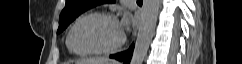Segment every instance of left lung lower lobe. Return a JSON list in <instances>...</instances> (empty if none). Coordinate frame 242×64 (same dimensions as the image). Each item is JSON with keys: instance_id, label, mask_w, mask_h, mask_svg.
Segmentation results:
<instances>
[{"instance_id": "1", "label": "left lung lower lobe", "mask_w": 242, "mask_h": 64, "mask_svg": "<svg viewBox=\"0 0 242 64\" xmlns=\"http://www.w3.org/2000/svg\"><path fill=\"white\" fill-rule=\"evenodd\" d=\"M134 44L130 46V48L125 52H120L114 55H110V58L116 59L118 61L123 62L124 64H129L132 54H133Z\"/></svg>"}]
</instances>
